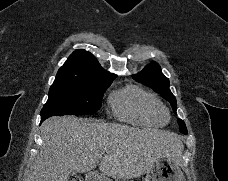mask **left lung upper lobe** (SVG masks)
I'll use <instances>...</instances> for the list:
<instances>
[{"label": "left lung upper lobe", "mask_w": 228, "mask_h": 181, "mask_svg": "<svg viewBox=\"0 0 228 181\" xmlns=\"http://www.w3.org/2000/svg\"><path fill=\"white\" fill-rule=\"evenodd\" d=\"M133 78L137 82L152 88L155 92L161 93V95L171 103L173 111L176 112L177 102L169 89V80L162 74L161 68L156 62L148 64L140 73L133 75ZM178 122L180 126L179 131L183 134H187L185 123L180 119Z\"/></svg>", "instance_id": "1"}]
</instances>
